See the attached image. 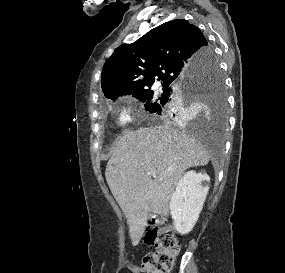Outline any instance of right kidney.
Wrapping results in <instances>:
<instances>
[{"instance_id":"1","label":"right kidney","mask_w":285,"mask_h":273,"mask_svg":"<svg viewBox=\"0 0 285 273\" xmlns=\"http://www.w3.org/2000/svg\"><path fill=\"white\" fill-rule=\"evenodd\" d=\"M209 182L207 174L192 170L177 183L170 210L174 228L181 235L188 234L195 226L209 190Z\"/></svg>"}]
</instances>
